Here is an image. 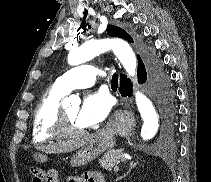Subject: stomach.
<instances>
[{"label":"stomach","mask_w":211,"mask_h":182,"mask_svg":"<svg viewBox=\"0 0 211 182\" xmlns=\"http://www.w3.org/2000/svg\"><path fill=\"white\" fill-rule=\"evenodd\" d=\"M114 131L106 129L91 136L87 143L70 159V165L73 167L83 166L94 160L98 155L106 150L113 148ZM41 158L40 155L35 156Z\"/></svg>","instance_id":"1"}]
</instances>
